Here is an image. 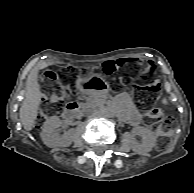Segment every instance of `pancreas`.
Masks as SVG:
<instances>
[{
	"instance_id": "cf45deb5",
	"label": "pancreas",
	"mask_w": 194,
	"mask_h": 193,
	"mask_svg": "<svg viewBox=\"0 0 194 193\" xmlns=\"http://www.w3.org/2000/svg\"><path fill=\"white\" fill-rule=\"evenodd\" d=\"M109 97L106 95H98L97 105H102L103 103L107 102Z\"/></svg>"
}]
</instances>
